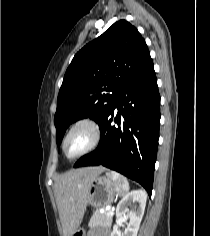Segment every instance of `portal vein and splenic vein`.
<instances>
[{
	"label": "portal vein and splenic vein",
	"mask_w": 210,
	"mask_h": 236,
	"mask_svg": "<svg viewBox=\"0 0 210 236\" xmlns=\"http://www.w3.org/2000/svg\"><path fill=\"white\" fill-rule=\"evenodd\" d=\"M108 214L113 215L114 213H113V211L110 210V211H108Z\"/></svg>",
	"instance_id": "portal-vein-and-splenic-vein-1"
}]
</instances>
